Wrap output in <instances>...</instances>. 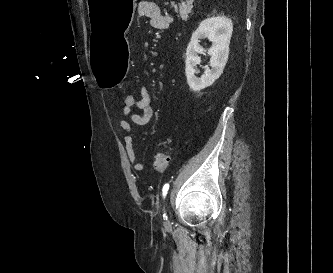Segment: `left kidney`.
I'll use <instances>...</instances> for the list:
<instances>
[{
	"instance_id": "5707ae66",
	"label": "left kidney",
	"mask_w": 333,
	"mask_h": 273,
	"mask_svg": "<svg viewBox=\"0 0 333 273\" xmlns=\"http://www.w3.org/2000/svg\"><path fill=\"white\" fill-rule=\"evenodd\" d=\"M233 31L231 19L224 16L212 17L202 21L199 27L193 32L190 43L186 50L185 73L187 83L191 90L200 91L211 86L223 73L229 55V44ZM208 38L212 46L208 50L211 56L210 66L205 68L204 74L198 78L196 65L200 64L199 54L205 50L199 44L200 39Z\"/></svg>"
}]
</instances>
